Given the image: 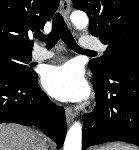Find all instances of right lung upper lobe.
I'll use <instances>...</instances> for the list:
<instances>
[{
    "label": "right lung upper lobe",
    "instance_id": "right-lung-upper-lobe-1",
    "mask_svg": "<svg viewBox=\"0 0 139 150\" xmlns=\"http://www.w3.org/2000/svg\"><path fill=\"white\" fill-rule=\"evenodd\" d=\"M59 0H0V46L31 52L28 35L44 28Z\"/></svg>",
    "mask_w": 139,
    "mask_h": 150
}]
</instances>
